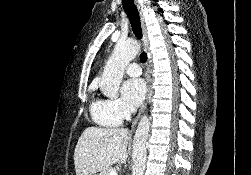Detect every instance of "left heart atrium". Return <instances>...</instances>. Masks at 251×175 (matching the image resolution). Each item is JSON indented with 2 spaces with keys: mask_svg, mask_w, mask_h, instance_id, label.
Listing matches in <instances>:
<instances>
[{
  "mask_svg": "<svg viewBox=\"0 0 251 175\" xmlns=\"http://www.w3.org/2000/svg\"><path fill=\"white\" fill-rule=\"evenodd\" d=\"M121 93L129 106L137 107L145 97V83L141 78H130L123 83Z\"/></svg>",
  "mask_w": 251,
  "mask_h": 175,
  "instance_id": "1",
  "label": "left heart atrium"
}]
</instances>
